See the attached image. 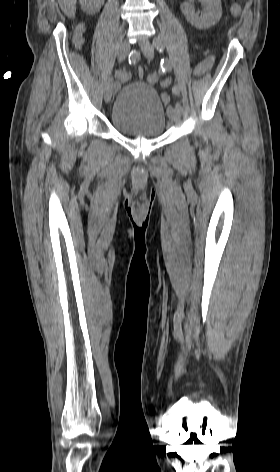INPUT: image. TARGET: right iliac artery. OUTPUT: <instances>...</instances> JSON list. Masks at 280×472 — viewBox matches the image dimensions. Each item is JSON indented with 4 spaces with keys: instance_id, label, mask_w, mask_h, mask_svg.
<instances>
[{
    "instance_id": "82829eb1",
    "label": "right iliac artery",
    "mask_w": 280,
    "mask_h": 472,
    "mask_svg": "<svg viewBox=\"0 0 280 472\" xmlns=\"http://www.w3.org/2000/svg\"><path fill=\"white\" fill-rule=\"evenodd\" d=\"M140 60V53L136 50H132L128 56V62L129 64H136ZM115 76L121 80L125 81L129 78L128 74L125 71L122 70H116L115 71Z\"/></svg>"
}]
</instances>
